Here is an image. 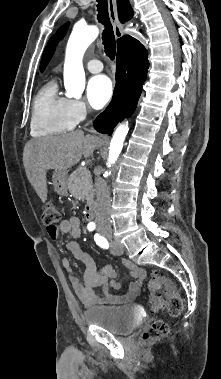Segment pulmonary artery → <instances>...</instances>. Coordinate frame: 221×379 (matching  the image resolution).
Listing matches in <instances>:
<instances>
[{
    "label": "pulmonary artery",
    "mask_w": 221,
    "mask_h": 379,
    "mask_svg": "<svg viewBox=\"0 0 221 379\" xmlns=\"http://www.w3.org/2000/svg\"><path fill=\"white\" fill-rule=\"evenodd\" d=\"M86 68L92 73H98L102 71L103 65L101 61L92 59L86 63Z\"/></svg>",
    "instance_id": "obj_1"
}]
</instances>
